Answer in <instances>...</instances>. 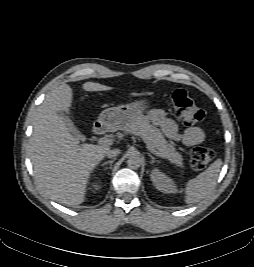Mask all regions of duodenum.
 Returning <instances> with one entry per match:
<instances>
[{"label": "duodenum", "instance_id": "410a0bca", "mask_svg": "<svg viewBox=\"0 0 254 267\" xmlns=\"http://www.w3.org/2000/svg\"><path fill=\"white\" fill-rule=\"evenodd\" d=\"M93 131L95 134L101 135V134H104L106 132V127L101 123H97L94 126Z\"/></svg>", "mask_w": 254, "mask_h": 267}]
</instances>
